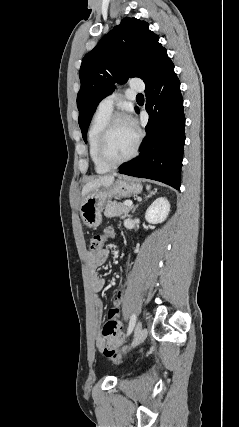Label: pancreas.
<instances>
[{
    "mask_svg": "<svg viewBox=\"0 0 239 427\" xmlns=\"http://www.w3.org/2000/svg\"><path fill=\"white\" fill-rule=\"evenodd\" d=\"M131 210L130 206H125L122 203H117V202H110L108 204H106L105 206V211H104V215L107 218H112V217H121L122 219L128 217L129 212Z\"/></svg>",
    "mask_w": 239,
    "mask_h": 427,
    "instance_id": "pancreas-1",
    "label": "pancreas"
}]
</instances>
